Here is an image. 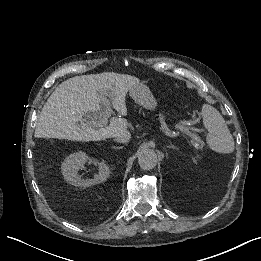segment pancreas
<instances>
[{
    "label": "pancreas",
    "mask_w": 261,
    "mask_h": 261,
    "mask_svg": "<svg viewBox=\"0 0 261 261\" xmlns=\"http://www.w3.org/2000/svg\"><path fill=\"white\" fill-rule=\"evenodd\" d=\"M184 127H186L188 130H190V132H191V131H195V128H194V127H189V126H185V125H184ZM191 133H192V132H191ZM194 135H195V134H194Z\"/></svg>",
    "instance_id": "pancreas-1"
}]
</instances>
